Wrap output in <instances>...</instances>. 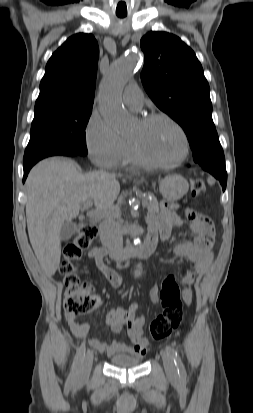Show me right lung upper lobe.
<instances>
[{"mask_svg": "<svg viewBox=\"0 0 253 413\" xmlns=\"http://www.w3.org/2000/svg\"><path fill=\"white\" fill-rule=\"evenodd\" d=\"M99 48L92 34L68 38L49 59L40 83L35 113L92 108Z\"/></svg>", "mask_w": 253, "mask_h": 413, "instance_id": "cb5924a9", "label": "right lung upper lobe"}]
</instances>
